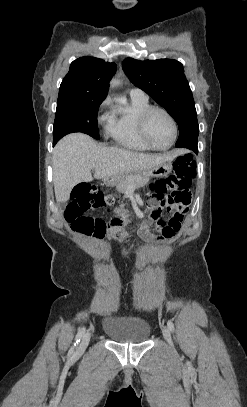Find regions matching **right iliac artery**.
Wrapping results in <instances>:
<instances>
[{
  "label": "right iliac artery",
  "instance_id": "82829eb1",
  "mask_svg": "<svg viewBox=\"0 0 247 407\" xmlns=\"http://www.w3.org/2000/svg\"><path fill=\"white\" fill-rule=\"evenodd\" d=\"M84 333H85V327H82V328L78 331V333H77V335H76L74 345H73V346L71 347V349L69 350V353H70V354H73V353H74L75 348H76V346L78 345V343L80 342V339L82 338V336L84 335Z\"/></svg>",
  "mask_w": 247,
  "mask_h": 407
}]
</instances>
